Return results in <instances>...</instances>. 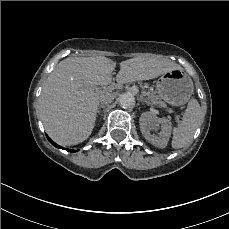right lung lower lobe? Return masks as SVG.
Masks as SVG:
<instances>
[{
  "mask_svg": "<svg viewBox=\"0 0 229 229\" xmlns=\"http://www.w3.org/2000/svg\"><path fill=\"white\" fill-rule=\"evenodd\" d=\"M46 136H47V135H46ZM47 138H48V140L50 141V143H51L52 145H54L55 147L64 149L63 147H61V146L57 145L55 142H53V141L49 138V136H47ZM66 150L69 151V152H75V150H70V149H66Z\"/></svg>",
  "mask_w": 229,
  "mask_h": 229,
  "instance_id": "obj_1",
  "label": "right lung lower lobe"
}]
</instances>
